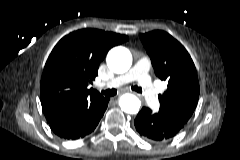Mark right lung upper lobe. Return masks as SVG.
<instances>
[{
  "mask_svg": "<svg viewBox=\"0 0 240 160\" xmlns=\"http://www.w3.org/2000/svg\"><path fill=\"white\" fill-rule=\"evenodd\" d=\"M128 37L97 29H83L63 37L49 55L40 83L41 105L48 123L103 96L88 89L100 62L113 46Z\"/></svg>",
  "mask_w": 240,
  "mask_h": 160,
  "instance_id": "1",
  "label": "right lung upper lobe"
}]
</instances>
